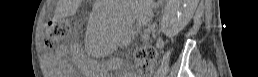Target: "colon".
Returning <instances> with one entry per match:
<instances>
[{
  "instance_id": "1",
  "label": "colon",
  "mask_w": 258,
  "mask_h": 77,
  "mask_svg": "<svg viewBox=\"0 0 258 77\" xmlns=\"http://www.w3.org/2000/svg\"><path fill=\"white\" fill-rule=\"evenodd\" d=\"M51 41L63 38L68 30V25L61 22H52L46 25ZM157 51L152 46H142L137 49L135 59L138 68L143 74H149L156 62Z\"/></svg>"
}]
</instances>
